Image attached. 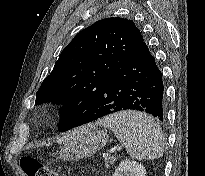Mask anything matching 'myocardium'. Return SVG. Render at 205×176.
<instances>
[{"instance_id": "obj_1", "label": "myocardium", "mask_w": 205, "mask_h": 176, "mask_svg": "<svg viewBox=\"0 0 205 176\" xmlns=\"http://www.w3.org/2000/svg\"><path fill=\"white\" fill-rule=\"evenodd\" d=\"M42 118L45 119V120H48L51 118V113L50 112H46L42 115Z\"/></svg>"}]
</instances>
